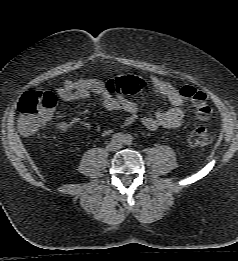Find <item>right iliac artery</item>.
Segmentation results:
<instances>
[{"mask_svg": "<svg viewBox=\"0 0 238 261\" xmlns=\"http://www.w3.org/2000/svg\"><path fill=\"white\" fill-rule=\"evenodd\" d=\"M125 135L123 133H116L112 136L111 141L113 143H121L124 141Z\"/></svg>", "mask_w": 238, "mask_h": 261, "instance_id": "obj_1", "label": "right iliac artery"}]
</instances>
